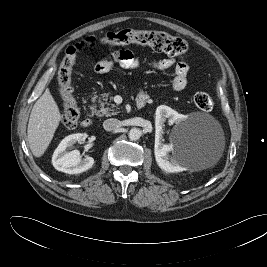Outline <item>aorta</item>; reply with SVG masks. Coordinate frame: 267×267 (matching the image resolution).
<instances>
[{"instance_id": "762f6f07", "label": "aorta", "mask_w": 267, "mask_h": 267, "mask_svg": "<svg viewBox=\"0 0 267 267\" xmlns=\"http://www.w3.org/2000/svg\"><path fill=\"white\" fill-rule=\"evenodd\" d=\"M128 137L132 141L138 140L141 137V131L138 128H132L128 133Z\"/></svg>"}]
</instances>
